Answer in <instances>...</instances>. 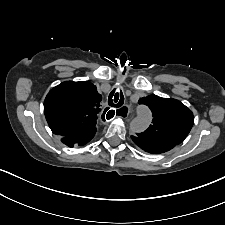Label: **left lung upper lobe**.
Returning <instances> with one entry per match:
<instances>
[{"label":"left lung upper lobe","mask_w":225,"mask_h":225,"mask_svg":"<svg viewBox=\"0 0 225 225\" xmlns=\"http://www.w3.org/2000/svg\"><path fill=\"white\" fill-rule=\"evenodd\" d=\"M138 103L151 109L153 119L152 124L137 137L155 143L178 145L189 134L194 116L180 101L150 95L141 98Z\"/></svg>","instance_id":"5c2ea615"}]
</instances>
